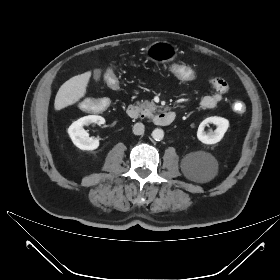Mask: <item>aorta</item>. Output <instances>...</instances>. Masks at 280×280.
Returning a JSON list of instances; mask_svg holds the SVG:
<instances>
[{
    "label": "aorta",
    "mask_w": 280,
    "mask_h": 280,
    "mask_svg": "<svg viewBox=\"0 0 280 280\" xmlns=\"http://www.w3.org/2000/svg\"><path fill=\"white\" fill-rule=\"evenodd\" d=\"M152 138L156 141H161L164 137V131L162 129L156 128L152 131Z\"/></svg>",
    "instance_id": "obj_1"
}]
</instances>
